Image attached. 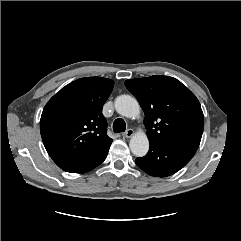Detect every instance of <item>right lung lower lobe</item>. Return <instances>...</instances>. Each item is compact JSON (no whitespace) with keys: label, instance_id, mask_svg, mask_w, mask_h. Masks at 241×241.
Wrapping results in <instances>:
<instances>
[{"label":"right lung lower lobe","instance_id":"obj_1","mask_svg":"<svg viewBox=\"0 0 241 241\" xmlns=\"http://www.w3.org/2000/svg\"><path fill=\"white\" fill-rule=\"evenodd\" d=\"M111 143L104 146L92 155L80 159L67 161L59 165V167L64 171L71 173L88 172L97 167L98 165H100L105 160Z\"/></svg>","mask_w":241,"mask_h":241}]
</instances>
